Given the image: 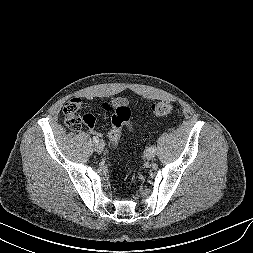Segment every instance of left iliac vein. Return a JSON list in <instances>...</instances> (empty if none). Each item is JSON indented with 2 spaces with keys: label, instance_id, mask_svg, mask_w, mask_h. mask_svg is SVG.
<instances>
[{
  "label": "left iliac vein",
  "instance_id": "4c4485c4",
  "mask_svg": "<svg viewBox=\"0 0 253 253\" xmlns=\"http://www.w3.org/2000/svg\"><path fill=\"white\" fill-rule=\"evenodd\" d=\"M144 155L147 160H152L155 157V152L148 149L145 151Z\"/></svg>",
  "mask_w": 253,
  "mask_h": 253
}]
</instances>
